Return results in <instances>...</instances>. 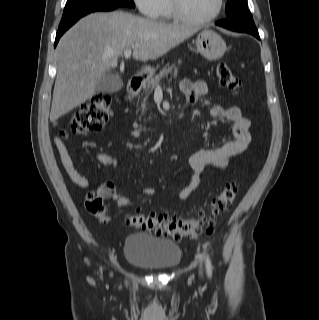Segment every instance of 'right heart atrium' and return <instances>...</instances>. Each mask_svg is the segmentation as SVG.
Segmentation results:
<instances>
[{
	"label": "right heart atrium",
	"instance_id": "d8ad5b80",
	"mask_svg": "<svg viewBox=\"0 0 319 320\" xmlns=\"http://www.w3.org/2000/svg\"><path fill=\"white\" fill-rule=\"evenodd\" d=\"M142 15L149 18L162 16L166 0H133Z\"/></svg>",
	"mask_w": 319,
	"mask_h": 320
}]
</instances>
